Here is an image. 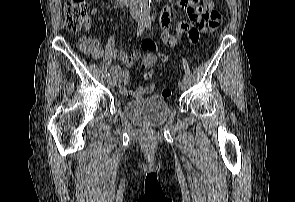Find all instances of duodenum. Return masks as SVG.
I'll return each mask as SVG.
<instances>
[{
	"instance_id": "duodenum-1",
	"label": "duodenum",
	"mask_w": 295,
	"mask_h": 202,
	"mask_svg": "<svg viewBox=\"0 0 295 202\" xmlns=\"http://www.w3.org/2000/svg\"><path fill=\"white\" fill-rule=\"evenodd\" d=\"M120 3H125V4H135L137 3L138 0H116Z\"/></svg>"
}]
</instances>
